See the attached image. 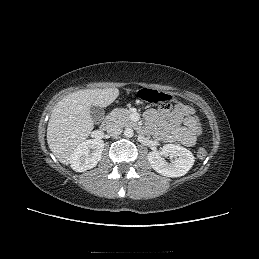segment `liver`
Instances as JSON below:
<instances>
[{"mask_svg":"<svg viewBox=\"0 0 259 259\" xmlns=\"http://www.w3.org/2000/svg\"><path fill=\"white\" fill-rule=\"evenodd\" d=\"M118 95L117 88L85 89L68 94L56 104L48 122L47 142L61 163L70 164L75 148L91 134V106L107 107Z\"/></svg>","mask_w":259,"mask_h":259,"instance_id":"6515ba94","label":"liver"}]
</instances>
